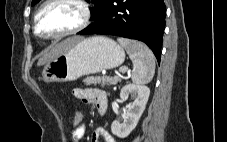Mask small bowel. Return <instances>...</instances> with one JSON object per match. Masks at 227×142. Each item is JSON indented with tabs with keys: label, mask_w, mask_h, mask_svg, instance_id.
I'll list each match as a JSON object with an SVG mask.
<instances>
[{
	"label": "small bowel",
	"mask_w": 227,
	"mask_h": 142,
	"mask_svg": "<svg viewBox=\"0 0 227 142\" xmlns=\"http://www.w3.org/2000/svg\"><path fill=\"white\" fill-rule=\"evenodd\" d=\"M73 95L78 100L92 104L99 111L101 106H107L106 93L98 88H76L73 90ZM85 133V124L77 129L70 132L69 138L71 142H80ZM103 139L104 142H116V140L103 128H97L91 136L92 142H100Z\"/></svg>",
	"instance_id": "1"
}]
</instances>
